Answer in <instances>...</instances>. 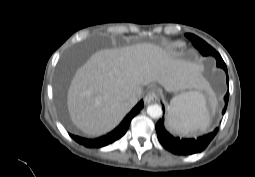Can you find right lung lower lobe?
<instances>
[{"instance_id": "right-lung-lower-lobe-1", "label": "right lung lower lobe", "mask_w": 255, "mask_h": 177, "mask_svg": "<svg viewBox=\"0 0 255 177\" xmlns=\"http://www.w3.org/2000/svg\"><path fill=\"white\" fill-rule=\"evenodd\" d=\"M143 100H141L132 110L131 112L126 115L124 120L120 123L118 127H116L112 132L101 136L96 139H86L79 136L71 135V137L81 145H84L88 148H100L106 145L112 144L113 142L120 139L127 131L129 124L132 118L137 115L140 110L143 108Z\"/></svg>"}]
</instances>
